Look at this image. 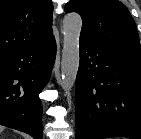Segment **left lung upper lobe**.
Returning a JSON list of instances; mask_svg holds the SVG:
<instances>
[{"label":"left lung upper lobe","mask_w":141,"mask_h":139,"mask_svg":"<svg viewBox=\"0 0 141 139\" xmlns=\"http://www.w3.org/2000/svg\"><path fill=\"white\" fill-rule=\"evenodd\" d=\"M65 11L81 15L83 24L80 37L141 53L135 22L119 0H70Z\"/></svg>","instance_id":"left-lung-upper-lobe-1"}]
</instances>
